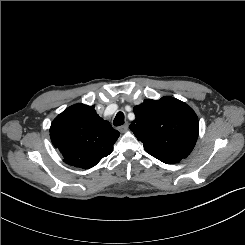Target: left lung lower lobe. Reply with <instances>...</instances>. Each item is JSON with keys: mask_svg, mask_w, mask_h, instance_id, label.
<instances>
[{"mask_svg": "<svg viewBox=\"0 0 245 245\" xmlns=\"http://www.w3.org/2000/svg\"><path fill=\"white\" fill-rule=\"evenodd\" d=\"M155 158L159 159L160 161L166 163V164H173V163H178L181 159L175 158V157H170V156H165L162 154H158V155H153Z\"/></svg>", "mask_w": 245, "mask_h": 245, "instance_id": "0a47b994", "label": "left lung lower lobe"}]
</instances>
